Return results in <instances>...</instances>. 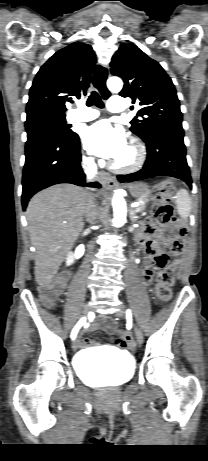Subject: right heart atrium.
Listing matches in <instances>:
<instances>
[{
    "instance_id": "obj_1",
    "label": "right heart atrium",
    "mask_w": 208,
    "mask_h": 461,
    "mask_svg": "<svg viewBox=\"0 0 208 461\" xmlns=\"http://www.w3.org/2000/svg\"><path fill=\"white\" fill-rule=\"evenodd\" d=\"M83 161H84V163L87 164V165H90V164L93 163V159H92V157L89 156V155L84 156V157H83Z\"/></svg>"
}]
</instances>
